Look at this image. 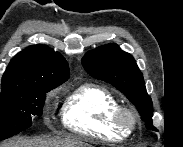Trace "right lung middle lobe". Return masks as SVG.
Returning a JSON list of instances; mask_svg holds the SVG:
<instances>
[{
  "instance_id": "obj_1",
  "label": "right lung middle lobe",
  "mask_w": 183,
  "mask_h": 147,
  "mask_svg": "<svg viewBox=\"0 0 183 147\" xmlns=\"http://www.w3.org/2000/svg\"><path fill=\"white\" fill-rule=\"evenodd\" d=\"M45 84L2 87L0 97V141L21 133L32 125V117L42 114Z\"/></svg>"
}]
</instances>
